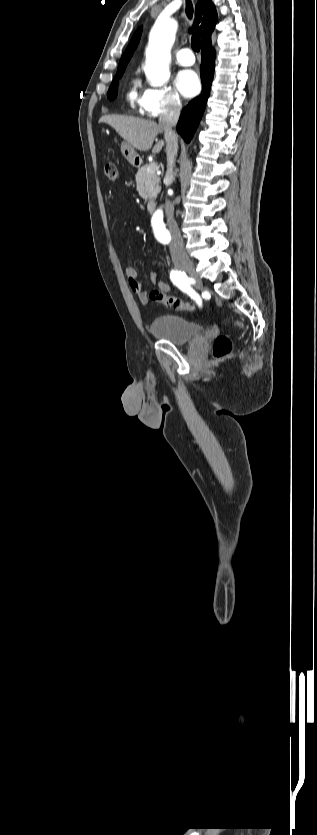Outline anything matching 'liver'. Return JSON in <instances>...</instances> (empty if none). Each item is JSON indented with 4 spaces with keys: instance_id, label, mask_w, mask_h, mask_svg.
<instances>
[{
    "instance_id": "obj_1",
    "label": "liver",
    "mask_w": 317,
    "mask_h": 835,
    "mask_svg": "<svg viewBox=\"0 0 317 835\" xmlns=\"http://www.w3.org/2000/svg\"><path fill=\"white\" fill-rule=\"evenodd\" d=\"M99 123L110 125L127 143L139 151L150 150L156 136L163 132L160 125L154 121L115 114L103 115ZM163 147L164 141L157 142L152 153L158 154Z\"/></svg>"
}]
</instances>
